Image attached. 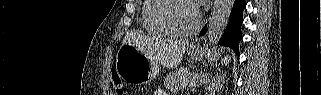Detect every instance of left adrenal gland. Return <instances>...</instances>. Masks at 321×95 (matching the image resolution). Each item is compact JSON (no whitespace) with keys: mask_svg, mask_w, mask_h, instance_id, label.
I'll list each match as a JSON object with an SVG mask.
<instances>
[{"mask_svg":"<svg viewBox=\"0 0 321 95\" xmlns=\"http://www.w3.org/2000/svg\"><path fill=\"white\" fill-rule=\"evenodd\" d=\"M221 81H223L222 77L221 79L214 81V83L212 84V88L214 89V91L211 92H215L216 90H219L222 87Z\"/></svg>","mask_w":321,"mask_h":95,"instance_id":"left-adrenal-gland-1","label":"left adrenal gland"}]
</instances>
